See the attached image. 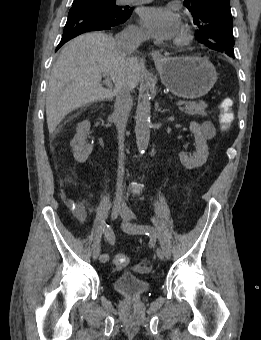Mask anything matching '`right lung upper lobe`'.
I'll return each mask as SVG.
<instances>
[{
    "label": "right lung upper lobe",
    "mask_w": 261,
    "mask_h": 340,
    "mask_svg": "<svg viewBox=\"0 0 261 340\" xmlns=\"http://www.w3.org/2000/svg\"><path fill=\"white\" fill-rule=\"evenodd\" d=\"M85 1H91V0H74L73 3L85 2Z\"/></svg>",
    "instance_id": "1"
}]
</instances>
